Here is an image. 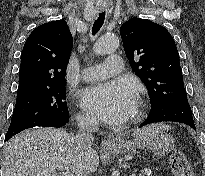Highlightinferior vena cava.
<instances>
[{
	"mask_svg": "<svg viewBox=\"0 0 205 176\" xmlns=\"http://www.w3.org/2000/svg\"><path fill=\"white\" fill-rule=\"evenodd\" d=\"M78 132L72 138L76 149L79 151L89 152L92 149L93 133L98 130V122L88 117L77 118Z\"/></svg>",
	"mask_w": 205,
	"mask_h": 176,
	"instance_id": "obj_1",
	"label": "inferior vena cava"
}]
</instances>
